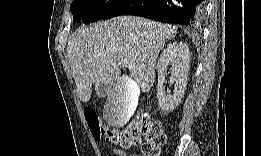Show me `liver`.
Segmentation results:
<instances>
[{"mask_svg": "<svg viewBox=\"0 0 261 156\" xmlns=\"http://www.w3.org/2000/svg\"><path fill=\"white\" fill-rule=\"evenodd\" d=\"M175 26L135 16L116 17L79 27L70 37L67 56L80 100L87 103L92 85L113 84L120 76L121 60L130 67V78L143 92L155 79L158 55L175 37ZM135 101L118 89L110 94L104 111L117 113L115 126H123L133 114Z\"/></svg>", "mask_w": 261, "mask_h": 156, "instance_id": "1", "label": "liver"}]
</instances>
